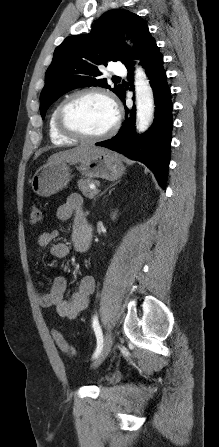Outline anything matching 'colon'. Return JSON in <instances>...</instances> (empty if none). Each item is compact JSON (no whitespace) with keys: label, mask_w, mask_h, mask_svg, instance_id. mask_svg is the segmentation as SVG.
<instances>
[{"label":"colon","mask_w":219,"mask_h":447,"mask_svg":"<svg viewBox=\"0 0 219 447\" xmlns=\"http://www.w3.org/2000/svg\"><path fill=\"white\" fill-rule=\"evenodd\" d=\"M30 223L32 225H38L42 220V210L39 205L32 204L30 207ZM54 340L57 346L61 351L66 353L69 356H73L75 354L74 348L66 341L61 332L55 330L53 332Z\"/></svg>","instance_id":"obj_1"}]
</instances>
